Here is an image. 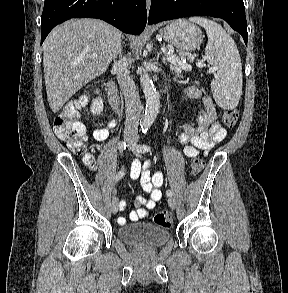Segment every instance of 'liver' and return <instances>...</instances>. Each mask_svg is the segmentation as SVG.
<instances>
[{"instance_id":"6515ba94","label":"liver","mask_w":288,"mask_h":293,"mask_svg":"<svg viewBox=\"0 0 288 293\" xmlns=\"http://www.w3.org/2000/svg\"><path fill=\"white\" fill-rule=\"evenodd\" d=\"M120 39L118 29L98 19H71L50 32L43 43V65L47 99L54 113L107 70Z\"/></svg>"}]
</instances>
